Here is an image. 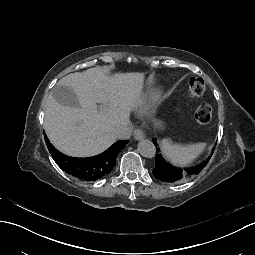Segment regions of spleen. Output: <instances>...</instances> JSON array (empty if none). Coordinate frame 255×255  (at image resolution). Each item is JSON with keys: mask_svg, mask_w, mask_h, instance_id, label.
I'll return each mask as SVG.
<instances>
[{"mask_svg": "<svg viewBox=\"0 0 255 255\" xmlns=\"http://www.w3.org/2000/svg\"><path fill=\"white\" fill-rule=\"evenodd\" d=\"M206 143L199 142L191 145L173 144L171 140L164 139L160 142L163 156L173 165L187 166L197 158L205 149Z\"/></svg>", "mask_w": 255, "mask_h": 255, "instance_id": "1", "label": "spleen"}]
</instances>
